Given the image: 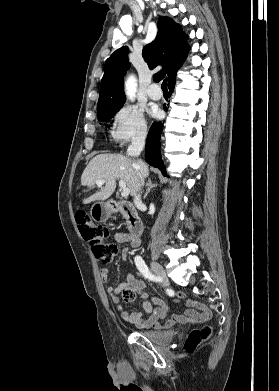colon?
<instances>
[{"instance_id":"5ec220e1","label":"colon","mask_w":279,"mask_h":391,"mask_svg":"<svg viewBox=\"0 0 279 391\" xmlns=\"http://www.w3.org/2000/svg\"><path fill=\"white\" fill-rule=\"evenodd\" d=\"M76 221L82 238L90 244L95 257L104 264L112 262L118 253V246L109 241L108 228L94 223L85 211L77 213ZM123 297L125 301H132L135 298V292L130 288H126ZM211 335L212 328L208 325L191 330L185 340V350L187 352L195 351Z\"/></svg>"}]
</instances>
